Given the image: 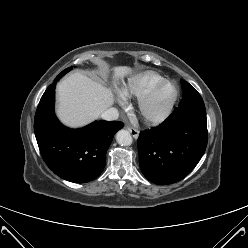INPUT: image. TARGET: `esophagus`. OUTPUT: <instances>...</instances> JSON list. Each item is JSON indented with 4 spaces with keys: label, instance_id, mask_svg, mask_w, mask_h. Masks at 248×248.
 Here are the masks:
<instances>
[{
    "label": "esophagus",
    "instance_id": "obj_1",
    "mask_svg": "<svg viewBox=\"0 0 248 248\" xmlns=\"http://www.w3.org/2000/svg\"><path fill=\"white\" fill-rule=\"evenodd\" d=\"M126 130H128L131 134H132V136L134 137V138H137L138 136H139V131L138 130H136L135 128H132V127H130V126H125L124 127Z\"/></svg>",
    "mask_w": 248,
    "mask_h": 248
}]
</instances>
